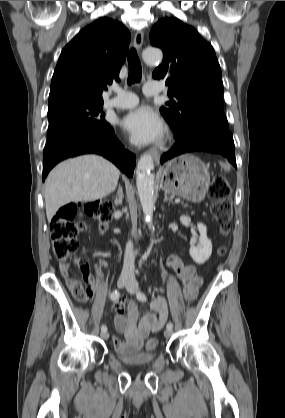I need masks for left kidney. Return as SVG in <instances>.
Listing matches in <instances>:
<instances>
[{
  "instance_id": "left-kidney-1",
  "label": "left kidney",
  "mask_w": 285,
  "mask_h": 418,
  "mask_svg": "<svg viewBox=\"0 0 285 418\" xmlns=\"http://www.w3.org/2000/svg\"><path fill=\"white\" fill-rule=\"evenodd\" d=\"M197 228L200 233L199 241L197 245L191 243L189 254L196 263L203 264L212 254V242L207 237L206 225L198 223Z\"/></svg>"
}]
</instances>
